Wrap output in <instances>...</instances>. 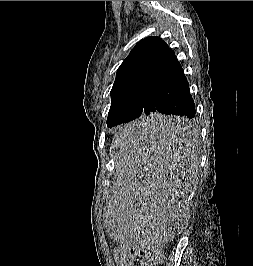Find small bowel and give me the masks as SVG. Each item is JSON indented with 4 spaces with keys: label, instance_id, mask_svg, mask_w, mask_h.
I'll use <instances>...</instances> for the list:
<instances>
[{
    "label": "small bowel",
    "instance_id": "small-bowel-1",
    "mask_svg": "<svg viewBox=\"0 0 253 266\" xmlns=\"http://www.w3.org/2000/svg\"><path fill=\"white\" fill-rule=\"evenodd\" d=\"M131 263H132V262H131ZM131 263H129V264H128V266H130V265H131Z\"/></svg>",
    "mask_w": 253,
    "mask_h": 266
}]
</instances>
